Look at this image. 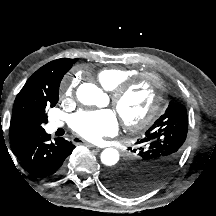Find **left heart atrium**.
<instances>
[{
  "label": "left heart atrium",
  "mask_w": 216,
  "mask_h": 216,
  "mask_svg": "<svg viewBox=\"0 0 216 216\" xmlns=\"http://www.w3.org/2000/svg\"><path fill=\"white\" fill-rule=\"evenodd\" d=\"M71 129L90 141H97L104 136L117 132L119 123L111 109L79 111L70 118Z\"/></svg>",
  "instance_id": "1"
}]
</instances>
